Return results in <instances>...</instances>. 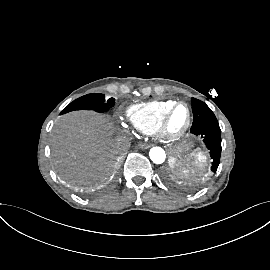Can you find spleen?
I'll use <instances>...</instances> for the list:
<instances>
[{
  "instance_id": "3e777b00",
  "label": "spleen",
  "mask_w": 270,
  "mask_h": 270,
  "mask_svg": "<svg viewBox=\"0 0 270 270\" xmlns=\"http://www.w3.org/2000/svg\"><path fill=\"white\" fill-rule=\"evenodd\" d=\"M196 159H197V162H198V163H201V162H204L205 156H204L202 153H198V154H196ZM182 163H183V165H184L186 168H189V167H190L187 163H185L184 160H183ZM194 165H197V164L195 163Z\"/></svg>"
}]
</instances>
